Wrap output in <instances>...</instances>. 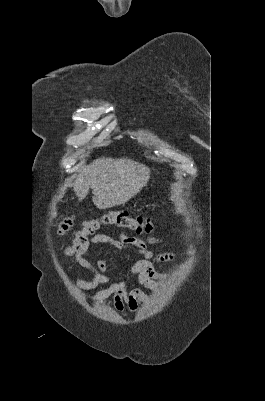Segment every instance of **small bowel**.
Listing matches in <instances>:
<instances>
[{
    "label": "small bowel",
    "instance_id": "1",
    "mask_svg": "<svg viewBox=\"0 0 265 401\" xmlns=\"http://www.w3.org/2000/svg\"><path fill=\"white\" fill-rule=\"evenodd\" d=\"M160 243H163V241L156 237L140 239L122 233L119 238H114L108 234H97L91 237L86 246L74 254L72 258V263L89 270L93 274V279L86 281L78 277L76 283L85 290H92L99 285H106V288L95 292L89 298L98 304H104L110 298H113L114 309L118 313H122L125 307L132 312H136L140 303L148 302L147 296L138 286L150 289L158 288V280L163 276L155 270L153 263L167 262L175 258V254L171 252L154 254L149 250V245ZM98 244H107L111 246V250L96 262L90 261L85 257V254ZM128 250H132L142 256V259L137 260L128 269V273L135 275L133 283L137 285V287L130 290L128 289L131 284L129 281H116L106 275L108 261L114 255Z\"/></svg>",
    "mask_w": 265,
    "mask_h": 401
}]
</instances>
